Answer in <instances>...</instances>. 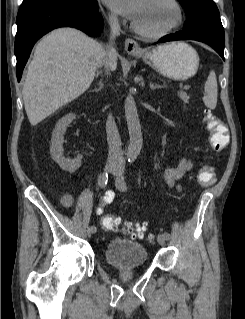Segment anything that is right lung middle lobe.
Instances as JSON below:
<instances>
[{"label": "right lung middle lobe", "instance_id": "obj_1", "mask_svg": "<svg viewBox=\"0 0 245 319\" xmlns=\"http://www.w3.org/2000/svg\"><path fill=\"white\" fill-rule=\"evenodd\" d=\"M56 1L84 3V2H87L88 0H23L21 7L22 8L31 7V6H36V5H41V4H46L50 2H56Z\"/></svg>", "mask_w": 245, "mask_h": 319}]
</instances>
